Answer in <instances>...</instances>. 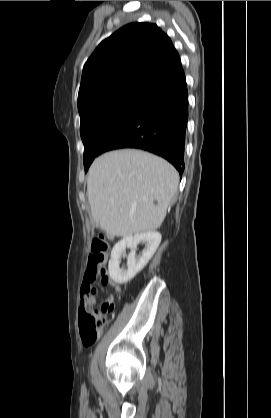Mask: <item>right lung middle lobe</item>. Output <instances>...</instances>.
<instances>
[{
	"instance_id": "right-lung-middle-lobe-1",
	"label": "right lung middle lobe",
	"mask_w": 271,
	"mask_h": 418,
	"mask_svg": "<svg viewBox=\"0 0 271 418\" xmlns=\"http://www.w3.org/2000/svg\"><path fill=\"white\" fill-rule=\"evenodd\" d=\"M150 101L138 95L122 94L79 110L85 172L94 158L100 154V149L107 139Z\"/></svg>"
}]
</instances>
